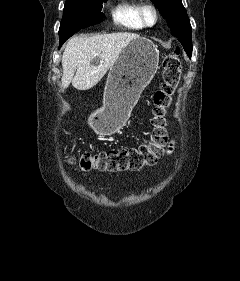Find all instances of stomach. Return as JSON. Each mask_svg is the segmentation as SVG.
I'll use <instances>...</instances> for the list:
<instances>
[{
	"mask_svg": "<svg viewBox=\"0 0 240 281\" xmlns=\"http://www.w3.org/2000/svg\"><path fill=\"white\" fill-rule=\"evenodd\" d=\"M158 63L159 51L151 40L138 37L126 45L108 73L103 106L88 118L95 132L111 135L125 123Z\"/></svg>",
	"mask_w": 240,
	"mask_h": 281,
	"instance_id": "0dacf381",
	"label": "stomach"
}]
</instances>
